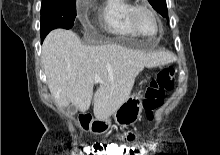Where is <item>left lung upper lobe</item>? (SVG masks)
I'll return each mask as SVG.
<instances>
[{
	"label": "left lung upper lobe",
	"instance_id": "left-lung-upper-lobe-1",
	"mask_svg": "<svg viewBox=\"0 0 220 155\" xmlns=\"http://www.w3.org/2000/svg\"><path fill=\"white\" fill-rule=\"evenodd\" d=\"M154 9L160 13L163 17H168V10L166 6V0H148Z\"/></svg>",
	"mask_w": 220,
	"mask_h": 155
}]
</instances>
